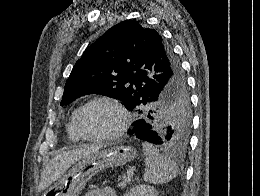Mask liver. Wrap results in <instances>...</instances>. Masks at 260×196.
Instances as JSON below:
<instances>
[{"label": "liver", "instance_id": "1", "mask_svg": "<svg viewBox=\"0 0 260 196\" xmlns=\"http://www.w3.org/2000/svg\"><path fill=\"white\" fill-rule=\"evenodd\" d=\"M104 146H76V150H67V152H61L57 154L48 166H46L44 172H42L41 182L38 186V192L46 190L49 186H52L53 182L62 178L63 174L67 172L68 168H71L73 164L91 156V154H96L99 150H102Z\"/></svg>", "mask_w": 260, "mask_h": 196}]
</instances>
